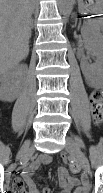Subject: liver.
Segmentation results:
<instances>
[{"mask_svg": "<svg viewBox=\"0 0 103 193\" xmlns=\"http://www.w3.org/2000/svg\"><path fill=\"white\" fill-rule=\"evenodd\" d=\"M33 0H1L0 70L15 67L29 54Z\"/></svg>", "mask_w": 103, "mask_h": 193, "instance_id": "6515ba94", "label": "liver"}]
</instances>
